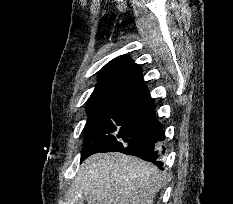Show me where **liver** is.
Listing matches in <instances>:
<instances>
[{
    "instance_id": "obj_1",
    "label": "liver",
    "mask_w": 233,
    "mask_h": 204,
    "mask_svg": "<svg viewBox=\"0 0 233 204\" xmlns=\"http://www.w3.org/2000/svg\"><path fill=\"white\" fill-rule=\"evenodd\" d=\"M77 180L87 204H152L163 178L155 165L111 152L87 158Z\"/></svg>"
}]
</instances>
